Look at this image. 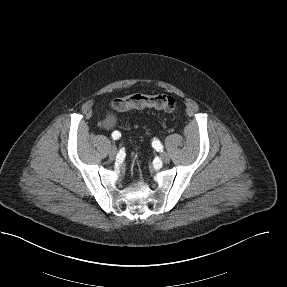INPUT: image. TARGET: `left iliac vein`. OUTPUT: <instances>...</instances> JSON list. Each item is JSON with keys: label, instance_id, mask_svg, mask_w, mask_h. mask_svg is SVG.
<instances>
[{"label": "left iliac vein", "instance_id": "left-iliac-vein-1", "mask_svg": "<svg viewBox=\"0 0 287 287\" xmlns=\"http://www.w3.org/2000/svg\"><path fill=\"white\" fill-rule=\"evenodd\" d=\"M161 160L164 163H168L170 161L169 155L167 153H161Z\"/></svg>", "mask_w": 287, "mask_h": 287}]
</instances>
